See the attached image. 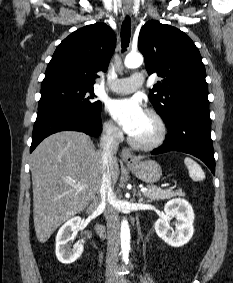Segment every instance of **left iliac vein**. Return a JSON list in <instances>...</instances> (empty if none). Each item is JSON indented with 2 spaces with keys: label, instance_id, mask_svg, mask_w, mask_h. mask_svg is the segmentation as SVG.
<instances>
[{
  "label": "left iliac vein",
  "instance_id": "1",
  "mask_svg": "<svg viewBox=\"0 0 233 283\" xmlns=\"http://www.w3.org/2000/svg\"><path fill=\"white\" fill-rule=\"evenodd\" d=\"M116 283H128V281L123 276H118Z\"/></svg>",
  "mask_w": 233,
  "mask_h": 283
}]
</instances>
